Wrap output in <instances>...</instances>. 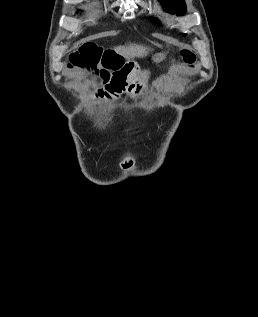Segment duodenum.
<instances>
[{"label":"duodenum","mask_w":258,"mask_h":317,"mask_svg":"<svg viewBox=\"0 0 258 317\" xmlns=\"http://www.w3.org/2000/svg\"><path fill=\"white\" fill-rule=\"evenodd\" d=\"M137 77L136 69L132 65L119 67L106 81L102 90H99L97 97L119 98L122 94L131 90Z\"/></svg>","instance_id":"410a0bca"}]
</instances>
